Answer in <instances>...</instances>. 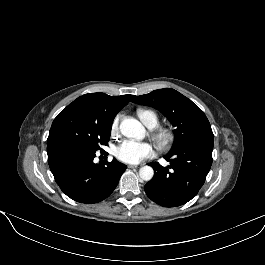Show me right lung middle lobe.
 Instances as JSON below:
<instances>
[{
	"mask_svg": "<svg viewBox=\"0 0 265 265\" xmlns=\"http://www.w3.org/2000/svg\"><path fill=\"white\" fill-rule=\"evenodd\" d=\"M111 121L97 119L78 112L60 113L53 121L47 145L60 141L80 143L100 150L110 139Z\"/></svg>",
	"mask_w": 265,
	"mask_h": 265,
	"instance_id": "dd1d6c3e",
	"label": "right lung middle lobe"
}]
</instances>
